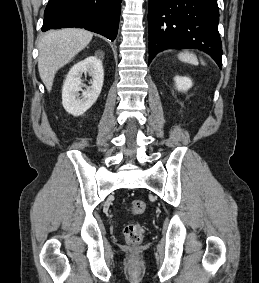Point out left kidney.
<instances>
[{"mask_svg":"<svg viewBox=\"0 0 259 283\" xmlns=\"http://www.w3.org/2000/svg\"><path fill=\"white\" fill-rule=\"evenodd\" d=\"M174 81L179 91H186L193 85L191 79L188 77L175 76Z\"/></svg>","mask_w":259,"mask_h":283,"instance_id":"left-kidney-1","label":"left kidney"}]
</instances>
